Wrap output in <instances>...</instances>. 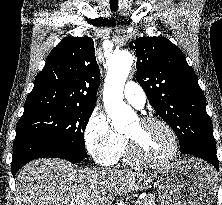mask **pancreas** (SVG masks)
I'll use <instances>...</instances> for the list:
<instances>
[{
    "mask_svg": "<svg viewBox=\"0 0 222 205\" xmlns=\"http://www.w3.org/2000/svg\"><path fill=\"white\" fill-rule=\"evenodd\" d=\"M135 205H155V199L153 195L145 196L143 199L137 200Z\"/></svg>",
    "mask_w": 222,
    "mask_h": 205,
    "instance_id": "1",
    "label": "pancreas"
}]
</instances>
